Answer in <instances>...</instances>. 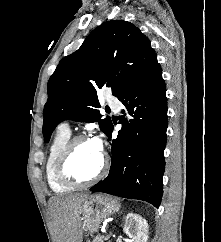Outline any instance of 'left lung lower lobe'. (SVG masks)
Instances as JSON below:
<instances>
[{
    "mask_svg": "<svg viewBox=\"0 0 221 242\" xmlns=\"http://www.w3.org/2000/svg\"><path fill=\"white\" fill-rule=\"evenodd\" d=\"M125 109L112 142L109 175L90 191L144 200L160 206L167 130L166 86L160 65L118 98ZM113 125L107 136L111 139Z\"/></svg>",
    "mask_w": 221,
    "mask_h": 242,
    "instance_id": "obj_1",
    "label": "left lung lower lobe"
}]
</instances>
